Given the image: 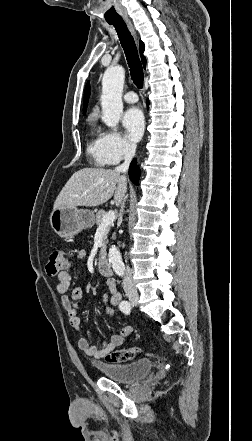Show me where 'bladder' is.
Here are the masks:
<instances>
[{
  "label": "bladder",
  "mask_w": 252,
  "mask_h": 441,
  "mask_svg": "<svg viewBox=\"0 0 252 441\" xmlns=\"http://www.w3.org/2000/svg\"><path fill=\"white\" fill-rule=\"evenodd\" d=\"M95 366L108 379L133 383L151 372L152 361L149 358H142L131 363H96Z\"/></svg>",
  "instance_id": "1"
}]
</instances>
